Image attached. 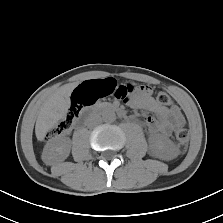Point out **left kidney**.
Instances as JSON below:
<instances>
[{
  "instance_id": "5707ae66",
  "label": "left kidney",
  "mask_w": 223,
  "mask_h": 223,
  "mask_svg": "<svg viewBox=\"0 0 223 223\" xmlns=\"http://www.w3.org/2000/svg\"><path fill=\"white\" fill-rule=\"evenodd\" d=\"M151 152L155 157L171 160L177 156V149L168 138H157L151 142Z\"/></svg>"
}]
</instances>
